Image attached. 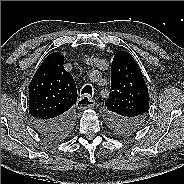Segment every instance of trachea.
<instances>
[{
  "instance_id": "trachea-1",
  "label": "trachea",
  "mask_w": 184,
  "mask_h": 184,
  "mask_svg": "<svg viewBox=\"0 0 184 184\" xmlns=\"http://www.w3.org/2000/svg\"><path fill=\"white\" fill-rule=\"evenodd\" d=\"M82 94H89L92 96V87L90 85H86L82 91H81V95Z\"/></svg>"
}]
</instances>
